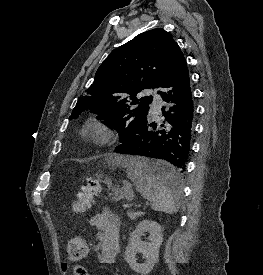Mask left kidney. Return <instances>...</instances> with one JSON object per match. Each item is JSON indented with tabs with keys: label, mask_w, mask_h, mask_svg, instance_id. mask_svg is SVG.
Listing matches in <instances>:
<instances>
[{
	"label": "left kidney",
	"mask_w": 263,
	"mask_h": 275,
	"mask_svg": "<svg viewBox=\"0 0 263 275\" xmlns=\"http://www.w3.org/2000/svg\"><path fill=\"white\" fill-rule=\"evenodd\" d=\"M148 232L149 242H144L141 237ZM162 228L155 221L143 220L132 232L129 238V244L125 252V260L130 268L141 274L147 275L159 259V248L162 244ZM142 253L146 259L143 264L137 263L136 254Z\"/></svg>",
	"instance_id": "obj_1"
}]
</instances>
